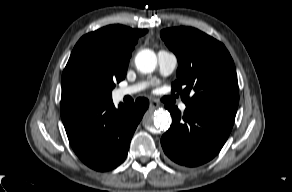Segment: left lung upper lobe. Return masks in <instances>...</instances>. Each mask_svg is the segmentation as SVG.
Here are the masks:
<instances>
[{
  "instance_id": "5c2ea615",
  "label": "left lung upper lobe",
  "mask_w": 292,
  "mask_h": 192,
  "mask_svg": "<svg viewBox=\"0 0 292 192\" xmlns=\"http://www.w3.org/2000/svg\"><path fill=\"white\" fill-rule=\"evenodd\" d=\"M160 35L177 56V80L172 88L173 92H184L182 101L186 107L236 114L239 103L237 75L226 47L190 27L164 29Z\"/></svg>"
}]
</instances>
